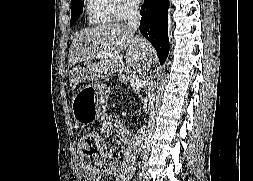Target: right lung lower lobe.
<instances>
[{
    "label": "right lung lower lobe",
    "mask_w": 253,
    "mask_h": 181,
    "mask_svg": "<svg viewBox=\"0 0 253 181\" xmlns=\"http://www.w3.org/2000/svg\"><path fill=\"white\" fill-rule=\"evenodd\" d=\"M168 0H144L140 14V32L151 42L163 64L169 52Z\"/></svg>",
    "instance_id": "obj_1"
}]
</instances>
